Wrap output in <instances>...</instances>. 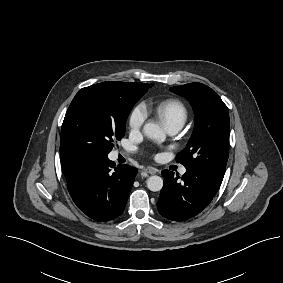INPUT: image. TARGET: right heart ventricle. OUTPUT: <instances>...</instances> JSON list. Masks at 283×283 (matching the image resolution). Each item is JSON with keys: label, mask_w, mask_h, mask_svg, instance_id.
<instances>
[{"label": "right heart ventricle", "mask_w": 283, "mask_h": 283, "mask_svg": "<svg viewBox=\"0 0 283 283\" xmlns=\"http://www.w3.org/2000/svg\"><path fill=\"white\" fill-rule=\"evenodd\" d=\"M154 112L166 128L170 125H180L182 127L188 117V110L185 104L173 98L160 101L154 107Z\"/></svg>", "instance_id": "e07e8e85"}]
</instances>
